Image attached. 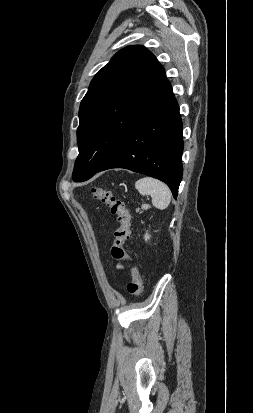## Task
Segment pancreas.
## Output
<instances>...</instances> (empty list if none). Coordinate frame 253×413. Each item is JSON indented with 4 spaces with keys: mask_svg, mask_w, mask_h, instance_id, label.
Listing matches in <instances>:
<instances>
[{
    "mask_svg": "<svg viewBox=\"0 0 253 413\" xmlns=\"http://www.w3.org/2000/svg\"><path fill=\"white\" fill-rule=\"evenodd\" d=\"M146 207H148L146 204H142V210L144 209V208H146ZM137 212H141V210L140 209H137Z\"/></svg>",
    "mask_w": 253,
    "mask_h": 413,
    "instance_id": "cf45deb5",
    "label": "pancreas"
}]
</instances>
